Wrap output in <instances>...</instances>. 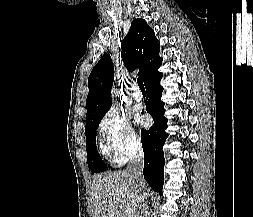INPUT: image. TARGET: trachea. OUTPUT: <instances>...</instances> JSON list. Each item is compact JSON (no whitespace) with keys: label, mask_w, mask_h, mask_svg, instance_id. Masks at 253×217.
Returning a JSON list of instances; mask_svg holds the SVG:
<instances>
[{"label":"trachea","mask_w":253,"mask_h":217,"mask_svg":"<svg viewBox=\"0 0 253 217\" xmlns=\"http://www.w3.org/2000/svg\"><path fill=\"white\" fill-rule=\"evenodd\" d=\"M137 83H138V86H139L140 90H142V91L145 90L143 81L141 80L140 77L137 79Z\"/></svg>","instance_id":"3493384b"}]
</instances>
